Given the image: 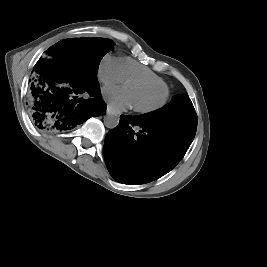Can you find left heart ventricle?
<instances>
[{"instance_id":"1","label":"left heart ventricle","mask_w":267,"mask_h":267,"mask_svg":"<svg viewBox=\"0 0 267 267\" xmlns=\"http://www.w3.org/2000/svg\"><path fill=\"white\" fill-rule=\"evenodd\" d=\"M134 106L147 107L156 104L163 96L164 91L148 83L130 82L126 84Z\"/></svg>"}]
</instances>
